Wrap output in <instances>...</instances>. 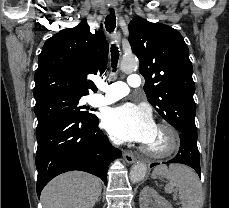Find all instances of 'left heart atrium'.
<instances>
[{"label":"left heart atrium","instance_id":"1","mask_svg":"<svg viewBox=\"0 0 229 208\" xmlns=\"http://www.w3.org/2000/svg\"><path fill=\"white\" fill-rule=\"evenodd\" d=\"M102 124L117 139L140 143L147 142L156 128L150 110L133 103L109 108Z\"/></svg>","mask_w":229,"mask_h":208}]
</instances>
